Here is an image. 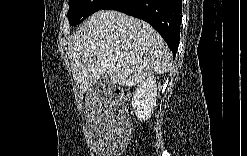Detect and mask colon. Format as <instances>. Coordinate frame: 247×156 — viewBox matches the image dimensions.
I'll return each instance as SVG.
<instances>
[{"label":"colon","instance_id":"obj_1","mask_svg":"<svg viewBox=\"0 0 247 156\" xmlns=\"http://www.w3.org/2000/svg\"><path fill=\"white\" fill-rule=\"evenodd\" d=\"M116 97L124 101H127L130 98V92L125 88H118L116 92Z\"/></svg>","mask_w":247,"mask_h":156}]
</instances>
